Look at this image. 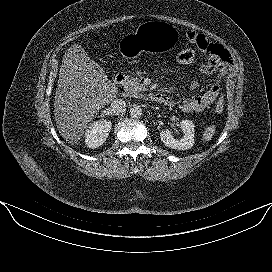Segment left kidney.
Returning a JSON list of instances; mask_svg holds the SVG:
<instances>
[{
    "label": "left kidney",
    "instance_id": "5707ae66",
    "mask_svg": "<svg viewBox=\"0 0 272 272\" xmlns=\"http://www.w3.org/2000/svg\"><path fill=\"white\" fill-rule=\"evenodd\" d=\"M181 129L184 136L180 139H175L170 130H162L160 132L161 141L165 146L177 149L188 150L193 147L194 144V124L190 120H182L180 122Z\"/></svg>",
    "mask_w": 272,
    "mask_h": 272
}]
</instances>
